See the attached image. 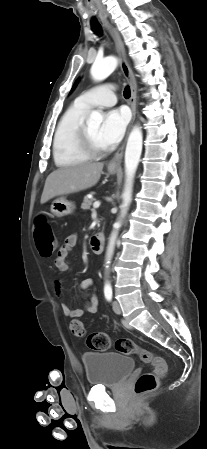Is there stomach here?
Instances as JSON below:
<instances>
[{
    "instance_id": "stomach-1",
    "label": "stomach",
    "mask_w": 207,
    "mask_h": 449,
    "mask_svg": "<svg viewBox=\"0 0 207 449\" xmlns=\"http://www.w3.org/2000/svg\"><path fill=\"white\" fill-rule=\"evenodd\" d=\"M110 174H115L118 169L108 168ZM75 205L73 202L68 201L65 197H60L54 200L51 204V212L56 217H63L73 213Z\"/></svg>"
}]
</instances>
